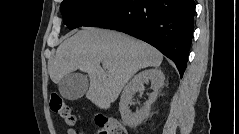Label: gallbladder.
<instances>
[{
	"label": "gallbladder",
	"mask_w": 239,
	"mask_h": 134,
	"mask_svg": "<svg viewBox=\"0 0 239 134\" xmlns=\"http://www.w3.org/2000/svg\"><path fill=\"white\" fill-rule=\"evenodd\" d=\"M89 86L87 76L80 73L66 75L58 84L60 94L67 100H77L87 91Z\"/></svg>",
	"instance_id": "bac80fb5"
}]
</instances>
